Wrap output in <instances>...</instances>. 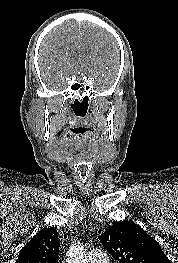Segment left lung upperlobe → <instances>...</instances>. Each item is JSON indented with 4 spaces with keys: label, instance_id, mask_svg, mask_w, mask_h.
I'll return each instance as SVG.
<instances>
[{
    "label": "left lung upper lobe",
    "instance_id": "left-lung-upper-lobe-1",
    "mask_svg": "<svg viewBox=\"0 0 178 263\" xmlns=\"http://www.w3.org/2000/svg\"><path fill=\"white\" fill-rule=\"evenodd\" d=\"M99 239L119 263H172L159 243L132 221L114 223Z\"/></svg>",
    "mask_w": 178,
    "mask_h": 263
}]
</instances>
